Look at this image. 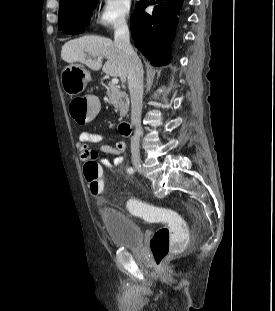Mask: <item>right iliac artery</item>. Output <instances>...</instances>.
I'll return each mask as SVG.
<instances>
[{
  "label": "right iliac artery",
  "instance_id": "1",
  "mask_svg": "<svg viewBox=\"0 0 275 311\" xmlns=\"http://www.w3.org/2000/svg\"><path fill=\"white\" fill-rule=\"evenodd\" d=\"M134 171H135V170H134L132 167H129V168L127 169V172H128L129 174H133Z\"/></svg>",
  "mask_w": 275,
  "mask_h": 311
}]
</instances>
